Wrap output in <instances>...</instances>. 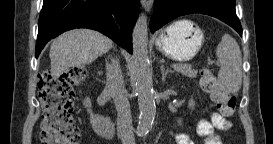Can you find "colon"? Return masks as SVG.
<instances>
[{"instance_id":"obj_1","label":"colon","mask_w":273,"mask_h":144,"mask_svg":"<svg viewBox=\"0 0 273 144\" xmlns=\"http://www.w3.org/2000/svg\"><path fill=\"white\" fill-rule=\"evenodd\" d=\"M86 71L74 67L55 78L48 72L42 73L38 81V96L43 105L41 131L42 144H77L80 131L74 123L73 86L84 80ZM201 87L208 93L223 117L234 114L237 99L225 92L219 85L212 71L205 67L201 70Z\"/></svg>"}]
</instances>
